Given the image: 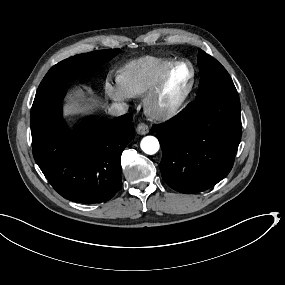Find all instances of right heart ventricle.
<instances>
[{"label": "right heart ventricle", "instance_id": "obj_1", "mask_svg": "<svg viewBox=\"0 0 285 285\" xmlns=\"http://www.w3.org/2000/svg\"><path fill=\"white\" fill-rule=\"evenodd\" d=\"M171 67L163 58L145 56L132 63L129 76L122 81V88L132 97H139L151 89Z\"/></svg>", "mask_w": 285, "mask_h": 285}]
</instances>
